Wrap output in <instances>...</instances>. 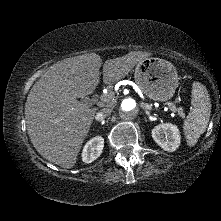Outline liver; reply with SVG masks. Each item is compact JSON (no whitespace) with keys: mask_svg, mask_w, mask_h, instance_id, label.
I'll use <instances>...</instances> for the list:
<instances>
[{"mask_svg":"<svg viewBox=\"0 0 221 221\" xmlns=\"http://www.w3.org/2000/svg\"><path fill=\"white\" fill-rule=\"evenodd\" d=\"M150 55L131 51L106 60L103 82L121 80ZM101 65L95 53L68 58L51 66L31 88L25 104L27 131L35 149L49 162L67 169L75 165L96 113V108L77 98L94 92Z\"/></svg>","mask_w":221,"mask_h":221,"instance_id":"6515ba94","label":"liver"}]
</instances>
